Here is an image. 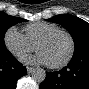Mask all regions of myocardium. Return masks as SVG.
Masks as SVG:
<instances>
[{
    "instance_id": "f54148a6",
    "label": "myocardium",
    "mask_w": 89,
    "mask_h": 89,
    "mask_svg": "<svg viewBox=\"0 0 89 89\" xmlns=\"http://www.w3.org/2000/svg\"><path fill=\"white\" fill-rule=\"evenodd\" d=\"M59 34H63L65 36H67V38L69 39V42H70V50H69V53H68L67 57L63 61H61L60 63L48 64V66L50 68H53V69L63 68L66 65H68L70 63V61L72 60V58L75 54V49H76L75 40H74L72 34L68 31H66V30H63V29L54 30L52 32L47 33L43 37H41L35 45V49L38 51L39 46L42 43H45V42L49 41L54 36L59 35Z\"/></svg>"
}]
</instances>
